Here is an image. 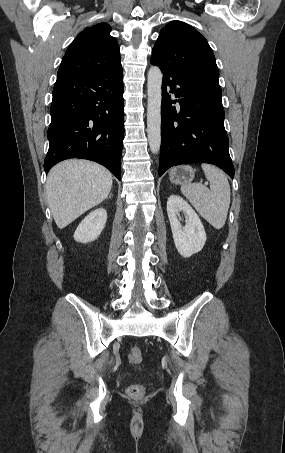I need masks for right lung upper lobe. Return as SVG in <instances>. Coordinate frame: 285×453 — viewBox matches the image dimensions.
<instances>
[{
	"label": "right lung upper lobe",
	"instance_id": "1",
	"mask_svg": "<svg viewBox=\"0 0 285 453\" xmlns=\"http://www.w3.org/2000/svg\"><path fill=\"white\" fill-rule=\"evenodd\" d=\"M110 32L111 27L107 23H99L80 32L65 52L58 75H97L122 70L119 45Z\"/></svg>",
	"mask_w": 285,
	"mask_h": 453
}]
</instances>
